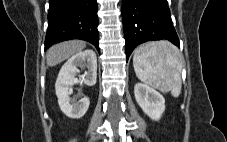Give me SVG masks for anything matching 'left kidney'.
<instances>
[{"label":"left kidney","instance_id":"5707ae66","mask_svg":"<svg viewBox=\"0 0 227 142\" xmlns=\"http://www.w3.org/2000/svg\"><path fill=\"white\" fill-rule=\"evenodd\" d=\"M135 99L143 112L152 120H159L165 110V99L147 84L137 83L134 87Z\"/></svg>","mask_w":227,"mask_h":142}]
</instances>
